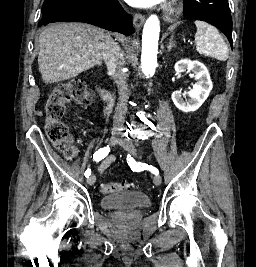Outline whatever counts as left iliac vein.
Returning a JSON list of instances; mask_svg holds the SVG:
<instances>
[{
	"mask_svg": "<svg viewBox=\"0 0 256 267\" xmlns=\"http://www.w3.org/2000/svg\"><path fill=\"white\" fill-rule=\"evenodd\" d=\"M118 144L122 146L126 151L130 152L134 156L137 155V151L134 148V145L127 139H119ZM154 184L159 186L162 182L161 177L159 175H155L153 178Z\"/></svg>",
	"mask_w": 256,
	"mask_h": 267,
	"instance_id": "obj_1",
	"label": "left iliac vein"
}]
</instances>
